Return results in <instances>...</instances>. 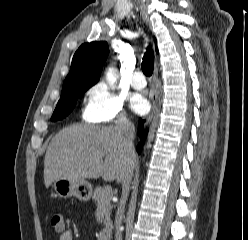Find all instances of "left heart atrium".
<instances>
[{"instance_id": "1", "label": "left heart atrium", "mask_w": 248, "mask_h": 240, "mask_svg": "<svg viewBox=\"0 0 248 240\" xmlns=\"http://www.w3.org/2000/svg\"><path fill=\"white\" fill-rule=\"evenodd\" d=\"M131 107L138 114L144 113L148 108V102L141 95H134L131 101Z\"/></svg>"}]
</instances>
